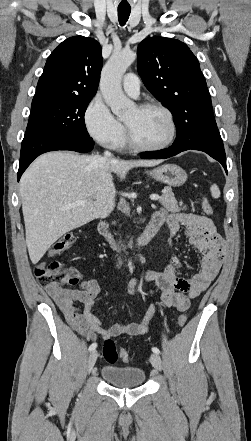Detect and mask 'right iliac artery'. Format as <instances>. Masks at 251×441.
I'll use <instances>...</instances> for the list:
<instances>
[{
  "mask_svg": "<svg viewBox=\"0 0 251 441\" xmlns=\"http://www.w3.org/2000/svg\"><path fill=\"white\" fill-rule=\"evenodd\" d=\"M96 347H97V344H96V343H92V344L89 346V351L91 352V351L95 350Z\"/></svg>",
  "mask_w": 251,
  "mask_h": 441,
  "instance_id": "82829eb1",
  "label": "right iliac artery"
}]
</instances>
